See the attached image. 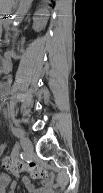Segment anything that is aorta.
Returning <instances> with one entry per match:
<instances>
[{"label": "aorta", "instance_id": "obj_1", "mask_svg": "<svg viewBox=\"0 0 103 193\" xmlns=\"http://www.w3.org/2000/svg\"><path fill=\"white\" fill-rule=\"evenodd\" d=\"M31 2L32 0H20L18 9L16 11V19L13 22L14 26H18L21 23L23 16L29 10Z\"/></svg>", "mask_w": 103, "mask_h": 193}]
</instances>
